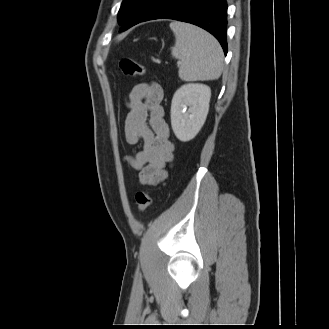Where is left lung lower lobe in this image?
Here are the masks:
<instances>
[{
    "label": "left lung lower lobe",
    "mask_w": 329,
    "mask_h": 329,
    "mask_svg": "<svg viewBox=\"0 0 329 329\" xmlns=\"http://www.w3.org/2000/svg\"><path fill=\"white\" fill-rule=\"evenodd\" d=\"M225 0H150L133 16L124 30L144 21L174 19L197 25L210 32L227 53Z\"/></svg>",
    "instance_id": "1"
}]
</instances>
